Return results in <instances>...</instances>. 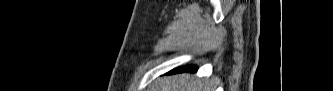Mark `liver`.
<instances>
[{
	"mask_svg": "<svg viewBox=\"0 0 333 91\" xmlns=\"http://www.w3.org/2000/svg\"><path fill=\"white\" fill-rule=\"evenodd\" d=\"M159 89V91H212L213 84L208 80L194 79L187 74L163 80Z\"/></svg>",
	"mask_w": 333,
	"mask_h": 91,
	"instance_id": "1",
	"label": "liver"
}]
</instances>
